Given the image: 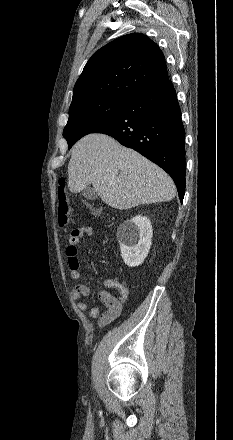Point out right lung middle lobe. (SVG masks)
Segmentation results:
<instances>
[{
	"label": "right lung middle lobe",
	"mask_w": 233,
	"mask_h": 440,
	"mask_svg": "<svg viewBox=\"0 0 233 440\" xmlns=\"http://www.w3.org/2000/svg\"><path fill=\"white\" fill-rule=\"evenodd\" d=\"M128 103L118 98H89L71 103L63 136L69 149L83 136L111 121Z\"/></svg>",
	"instance_id": "right-lung-middle-lobe-1"
}]
</instances>
